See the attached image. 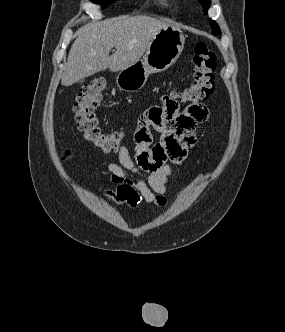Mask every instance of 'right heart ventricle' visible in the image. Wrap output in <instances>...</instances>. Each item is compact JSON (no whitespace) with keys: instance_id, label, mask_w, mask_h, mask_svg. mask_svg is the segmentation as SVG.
I'll use <instances>...</instances> for the list:
<instances>
[{"instance_id":"e07e8e85","label":"right heart ventricle","mask_w":285,"mask_h":332,"mask_svg":"<svg viewBox=\"0 0 285 332\" xmlns=\"http://www.w3.org/2000/svg\"><path fill=\"white\" fill-rule=\"evenodd\" d=\"M160 2V4L162 5L163 8L167 7V0H158Z\"/></svg>"}]
</instances>
